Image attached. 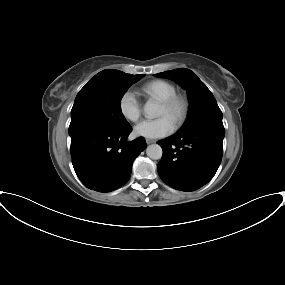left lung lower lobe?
Wrapping results in <instances>:
<instances>
[{"label":"left lung lower lobe","instance_id":"0a47b994","mask_svg":"<svg viewBox=\"0 0 285 285\" xmlns=\"http://www.w3.org/2000/svg\"><path fill=\"white\" fill-rule=\"evenodd\" d=\"M225 129L204 124L158 141L163 149L158 174L177 190L195 191L215 175L222 159Z\"/></svg>","mask_w":285,"mask_h":285}]
</instances>
